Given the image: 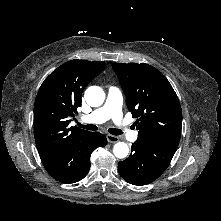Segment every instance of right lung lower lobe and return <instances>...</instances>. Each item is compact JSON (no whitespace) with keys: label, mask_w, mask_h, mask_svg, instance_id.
<instances>
[{"label":"right lung lower lobe","mask_w":221,"mask_h":221,"mask_svg":"<svg viewBox=\"0 0 221 221\" xmlns=\"http://www.w3.org/2000/svg\"><path fill=\"white\" fill-rule=\"evenodd\" d=\"M107 139L98 132H89L72 142L69 147L43 163L47 172L57 181L75 183L82 180L90 168V155L97 147H104Z\"/></svg>","instance_id":"1"}]
</instances>
